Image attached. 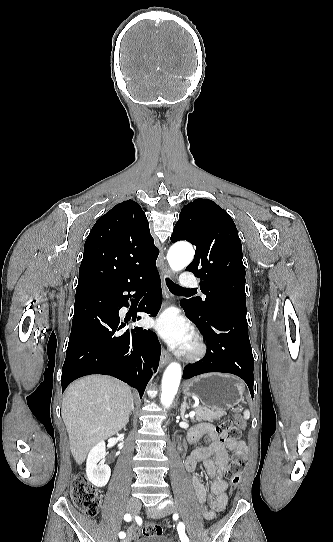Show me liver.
<instances>
[{
    "label": "liver",
    "instance_id": "liver-1",
    "mask_svg": "<svg viewBox=\"0 0 333 542\" xmlns=\"http://www.w3.org/2000/svg\"><path fill=\"white\" fill-rule=\"evenodd\" d=\"M132 400L131 388L110 376H86L67 388L61 414L76 464L127 426Z\"/></svg>",
    "mask_w": 333,
    "mask_h": 542
}]
</instances>
